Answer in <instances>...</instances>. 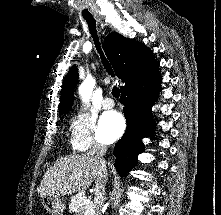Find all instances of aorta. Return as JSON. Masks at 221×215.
Listing matches in <instances>:
<instances>
[{
    "label": "aorta",
    "mask_w": 221,
    "mask_h": 215,
    "mask_svg": "<svg viewBox=\"0 0 221 215\" xmlns=\"http://www.w3.org/2000/svg\"><path fill=\"white\" fill-rule=\"evenodd\" d=\"M95 81L92 78L86 79L79 87V94L82 101L89 103L90 96L94 88Z\"/></svg>",
    "instance_id": "obj_1"
}]
</instances>
